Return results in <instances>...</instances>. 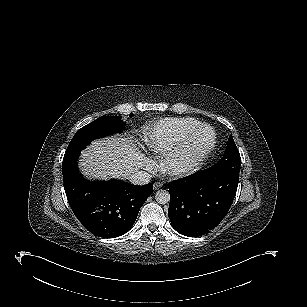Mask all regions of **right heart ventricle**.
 Listing matches in <instances>:
<instances>
[{"instance_id": "1", "label": "right heart ventricle", "mask_w": 307, "mask_h": 307, "mask_svg": "<svg viewBox=\"0 0 307 307\" xmlns=\"http://www.w3.org/2000/svg\"><path fill=\"white\" fill-rule=\"evenodd\" d=\"M195 126V121L190 118L160 120L147 137L151 151L157 156L168 153L182 140L192 135L196 130ZM211 144V141L207 143L206 149H209Z\"/></svg>"}]
</instances>
